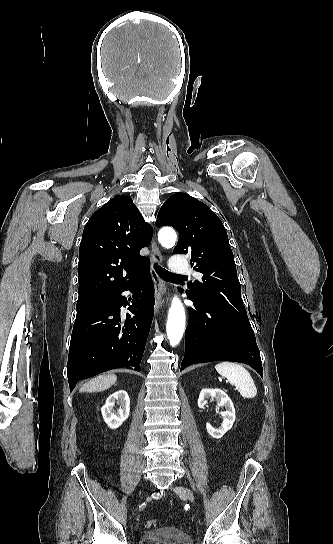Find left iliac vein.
<instances>
[{
    "label": "left iliac vein",
    "mask_w": 333,
    "mask_h": 544,
    "mask_svg": "<svg viewBox=\"0 0 333 544\" xmlns=\"http://www.w3.org/2000/svg\"><path fill=\"white\" fill-rule=\"evenodd\" d=\"M174 492L177 493L181 498L188 499L190 502H194V496L193 493L182 486H177L174 489Z\"/></svg>",
    "instance_id": "left-iliac-vein-1"
}]
</instances>
